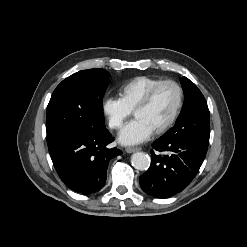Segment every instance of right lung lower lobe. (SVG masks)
Segmentation results:
<instances>
[{"instance_id": "obj_1", "label": "right lung lower lobe", "mask_w": 247, "mask_h": 247, "mask_svg": "<svg viewBox=\"0 0 247 247\" xmlns=\"http://www.w3.org/2000/svg\"><path fill=\"white\" fill-rule=\"evenodd\" d=\"M113 140L104 127L59 138L49 143L48 149L61 180L76 192L92 194L103 187L109 160L122 153L106 148Z\"/></svg>"}]
</instances>
